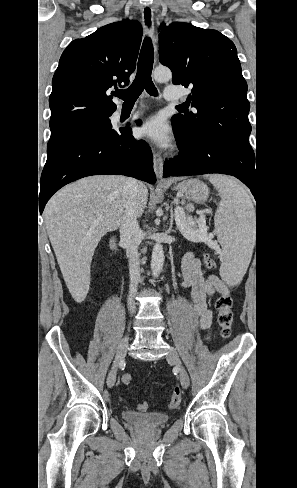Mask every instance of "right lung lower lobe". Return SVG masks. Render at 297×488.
Instances as JSON below:
<instances>
[{"mask_svg":"<svg viewBox=\"0 0 297 488\" xmlns=\"http://www.w3.org/2000/svg\"><path fill=\"white\" fill-rule=\"evenodd\" d=\"M152 160L149 145L135 139L130 127L75 135L47 155L39 180V212L61 187L86 176L121 174L154 184Z\"/></svg>","mask_w":297,"mask_h":488,"instance_id":"1","label":"right lung lower lobe"}]
</instances>
